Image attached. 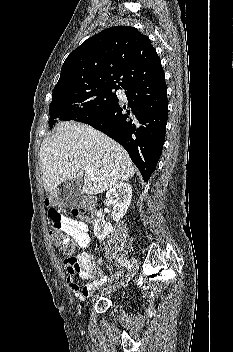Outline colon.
I'll use <instances>...</instances> for the list:
<instances>
[{"label":"colon","mask_w":233,"mask_h":352,"mask_svg":"<svg viewBox=\"0 0 233 352\" xmlns=\"http://www.w3.org/2000/svg\"><path fill=\"white\" fill-rule=\"evenodd\" d=\"M72 212L84 221H92L95 218L93 199L91 197H85L80 205L74 208ZM50 238L63 254L72 256L75 253L76 244L60 230L53 228L50 231Z\"/></svg>","instance_id":"colon-1"}]
</instances>
